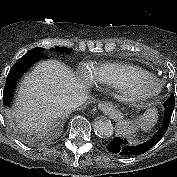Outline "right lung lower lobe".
<instances>
[{
  "mask_svg": "<svg viewBox=\"0 0 177 177\" xmlns=\"http://www.w3.org/2000/svg\"><path fill=\"white\" fill-rule=\"evenodd\" d=\"M41 59H48V56L44 53H26L14 64V66H12L8 73L3 91V103L5 105H10L13 89L19 76L24 73L34 62Z\"/></svg>",
  "mask_w": 177,
  "mask_h": 177,
  "instance_id": "98d812e1",
  "label": "right lung lower lobe"
}]
</instances>
